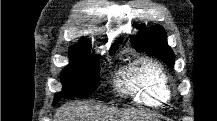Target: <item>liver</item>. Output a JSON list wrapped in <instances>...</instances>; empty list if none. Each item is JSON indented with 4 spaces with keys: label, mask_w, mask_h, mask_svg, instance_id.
Masks as SVG:
<instances>
[{
    "label": "liver",
    "mask_w": 217,
    "mask_h": 121,
    "mask_svg": "<svg viewBox=\"0 0 217 121\" xmlns=\"http://www.w3.org/2000/svg\"><path fill=\"white\" fill-rule=\"evenodd\" d=\"M113 109H100L80 102L67 103L58 109L54 121H112L110 116L115 114Z\"/></svg>",
    "instance_id": "obj_1"
}]
</instances>
